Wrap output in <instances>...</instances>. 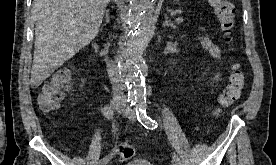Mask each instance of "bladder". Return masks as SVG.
Here are the masks:
<instances>
[{
    "label": "bladder",
    "instance_id": "31cf9c89",
    "mask_svg": "<svg viewBox=\"0 0 276 165\" xmlns=\"http://www.w3.org/2000/svg\"><path fill=\"white\" fill-rule=\"evenodd\" d=\"M125 165H152L150 162L144 159H134Z\"/></svg>",
    "mask_w": 276,
    "mask_h": 165
}]
</instances>
